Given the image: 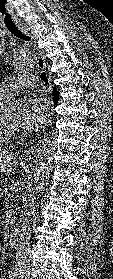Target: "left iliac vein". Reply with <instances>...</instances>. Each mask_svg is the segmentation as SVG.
I'll return each instance as SVG.
<instances>
[{"label": "left iliac vein", "mask_w": 113, "mask_h": 279, "mask_svg": "<svg viewBox=\"0 0 113 279\" xmlns=\"http://www.w3.org/2000/svg\"><path fill=\"white\" fill-rule=\"evenodd\" d=\"M24 279H34V277L33 276H30V275H28V276H26V277H23Z\"/></svg>", "instance_id": "1"}]
</instances>
